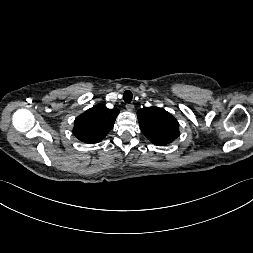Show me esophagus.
Here are the masks:
<instances>
[{"label":"esophagus","instance_id":"esophagus-1","mask_svg":"<svg viewBox=\"0 0 253 253\" xmlns=\"http://www.w3.org/2000/svg\"><path fill=\"white\" fill-rule=\"evenodd\" d=\"M126 109L128 111H132L134 109V105L132 103H128V104H126Z\"/></svg>","mask_w":253,"mask_h":253}]
</instances>
